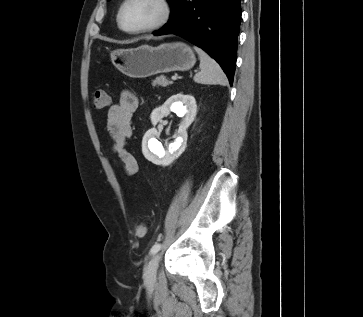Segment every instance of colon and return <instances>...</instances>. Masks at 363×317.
<instances>
[{
    "mask_svg": "<svg viewBox=\"0 0 363 317\" xmlns=\"http://www.w3.org/2000/svg\"><path fill=\"white\" fill-rule=\"evenodd\" d=\"M110 103V98L107 92L103 90H97L92 95V105L95 109H104ZM135 234L137 236H143L146 233V227L143 224H138L135 226Z\"/></svg>",
    "mask_w": 363,
    "mask_h": 317,
    "instance_id": "obj_1",
    "label": "colon"
}]
</instances>
